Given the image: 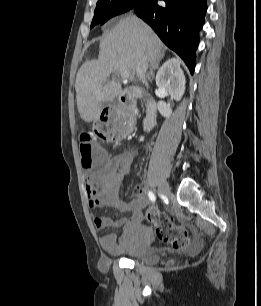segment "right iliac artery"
Instances as JSON below:
<instances>
[{
	"label": "right iliac artery",
	"mask_w": 261,
	"mask_h": 306,
	"mask_svg": "<svg viewBox=\"0 0 261 306\" xmlns=\"http://www.w3.org/2000/svg\"><path fill=\"white\" fill-rule=\"evenodd\" d=\"M148 196H149V198H150V200H151L152 202H155L156 197H155V195H154V193H153L152 191H149V192H148Z\"/></svg>",
	"instance_id": "82829eb1"
}]
</instances>
